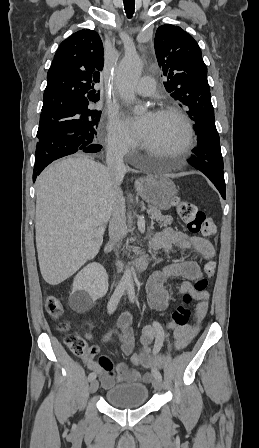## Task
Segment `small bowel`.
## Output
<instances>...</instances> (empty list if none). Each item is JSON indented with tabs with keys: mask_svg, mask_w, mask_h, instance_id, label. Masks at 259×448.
Returning a JSON list of instances; mask_svg holds the SVG:
<instances>
[{
	"mask_svg": "<svg viewBox=\"0 0 259 448\" xmlns=\"http://www.w3.org/2000/svg\"><path fill=\"white\" fill-rule=\"evenodd\" d=\"M151 242H153L155 248L161 249L164 253L176 247L194 255L193 258L165 265L155 271L146 284V300L148 306L152 309L161 311L167 308L170 289L180 293H188L197 301L193 313V323H188L181 328H170L167 326L173 334L175 349L181 350L198 334L208 312L209 293L206 290H196L192 282L202 278L199 261L207 263L212 260L215 255L214 246L203 237L191 236L172 228H165L155 235ZM171 278H177L178 280L168 283ZM131 323V313L121 315L117 320L116 328L108 332L104 339V341L108 342L113 337H117L120 349L125 355H131L135 345ZM153 336L152 327L146 326L143 328L140 337L142 345L140 364L150 370V372L141 373L140 371L129 369L123 362L114 363L108 356L102 355L100 348L96 345L89 349L87 355L82 356V361L88 370L96 373L102 387L105 389L112 387L116 382L148 383L152 379L153 372L160 369L163 362L162 358H157L152 353L151 343ZM96 357L97 359H95Z\"/></svg>",
	"mask_w": 259,
	"mask_h": 448,
	"instance_id": "obj_1",
	"label": "small bowel"
}]
</instances>
